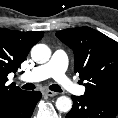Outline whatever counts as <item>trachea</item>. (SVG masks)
I'll list each match as a JSON object with an SVG mask.
<instances>
[{"label": "trachea", "instance_id": "trachea-1", "mask_svg": "<svg viewBox=\"0 0 118 118\" xmlns=\"http://www.w3.org/2000/svg\"><path fill=\"white\" fill-rule=\"evenodd\" d=\"M22 88L26 89V90H33V89H35V85L32 83H27V84L23 85ZM49 89L51 91H55V92H62L61 87L57 84H53V85L49 86Z\"/></svg>", "mask_w": 118, "mask_h": 118}]
</instances>
